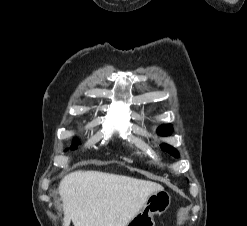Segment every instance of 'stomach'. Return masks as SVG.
<instances>
[{
	"mask_svg": "<svg viewBox=\"0 0 247 226\" xmlns=\"http://www.w3.org/2000/svg\"><path fill=\"white\" fill-rule=\"evenodd\" d=\"M171 204L170 194L163 188L153 192L145 201L141 210L126 226H155L153 215L164 213Z\"/></svg>",
	"mask_w": 247,
	"mask_h": 226,
	"instance_id": "0dacf381",
	"label": "stomach"
}]
</instances>
